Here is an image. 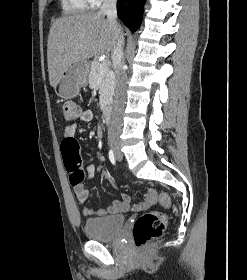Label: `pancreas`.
<instances>
[{"label": "pancreas", "mask_w": 247, "mask_h": 280, "mask_svg": "<svg viewBox=\"0 0 247 280\" xmlns=\"http://www.w3.org/2000/svg\"><path fill=\"white\" fill-rule=\"evenodd\" d=\"M89 85L93 89H99L100 108L104 109L111 102L114 92L115 78L113 71L110 68L101 71L100 63L96 60L92 61L89 72Z\"/></svg>", "instance_id": "pancreas-1"}]
</instances>
